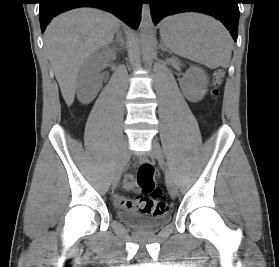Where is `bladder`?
Returning a JSON list of instances; mask_svg holds the SVG:
<instances>
[{"instance_id": "31cf9c89", "label": "bladder", "mask_w": 279, "mask_h": 267, "mask_svg": "<svg viewBox=\"0 0 279 267\" xmlns=\"http://www.w3.org/2000/svg\"><path fill=\"white\" fill-rule=\"evenodd\" d=\"M118 218L121 222L133 229L151 232L167 224L170 220V215L165 213L163 215L150 217L133 210H126L119 212Z\"/></svg>"}]
</instances>
